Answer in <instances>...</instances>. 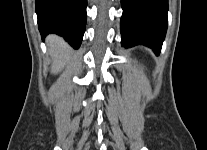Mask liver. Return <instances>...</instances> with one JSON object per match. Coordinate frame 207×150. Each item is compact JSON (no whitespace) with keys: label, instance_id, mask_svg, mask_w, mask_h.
Wrapping results in <instances>:
<instances>
[{"label":"liver","instance_id":"liver-1","mask_svg":"<svg viewBox=\"0 0 207 150\" xmlns=\"http://www.w3.org/2000/svg\"><path fill=\"white\" fill-rule=\"evenodd\" d=\"M49 46V53L53 57V64L51 66V72L57 74L60 72L69 60L70 53L67 44L63 39L51 35L47 39Z\"/></svg>","mask_w":207,"mask_h":150}]
</instances>
